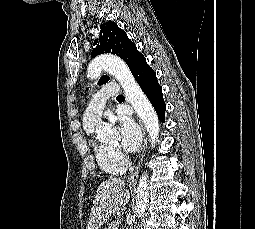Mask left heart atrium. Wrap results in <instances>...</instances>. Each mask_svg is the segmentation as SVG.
<instances>
[{
    "label": "left heart atrium",
    "mask_w": 255,
    "mask_h": 229,
    "mask_svg": "<svg viewBox=\"0 0 255 229\" xmlns=\"http://www.w3.org/2000/svg\"><path fill=\"white\" fill-rule=\"evenodd\" d=\"M118 131L122 148L127 152H134L139 147L141 132L138 125L130 118L122 117Z\"/></svg>",
    "instance_id": "39dd6f15"
}]
</instances>
